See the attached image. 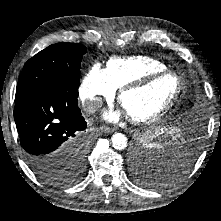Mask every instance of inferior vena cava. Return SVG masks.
I'll list each match as a JSON object with an SVG mask.
<instances>
[{
	"mask_svg": "<svg viewBox=\"0 0 221 221\" xmlns=\"http://www.w3.org/2000/svg\"><path fill=\"white\" fill-rule=\"evenodd\" d=\"M101 106H102V101L100 99H94V100L88 99L82 104L84 111L87 113H94Z\"/></svg>",
	"mask_w": 221,
	"mask_h": 221,
	"instance_id": "obj_1",
	"label": "inferior vena cava"
}]
</instances>
